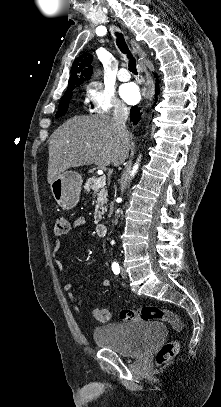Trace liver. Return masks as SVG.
Segmentation results:
<instances>
[{
  "instance_id": "1",
  "label": "liver",
  "mask_w": 221,
  "mask_h": 407,
  "mask_svg": "<svg viewBox=\"0 0 221 407\" xmlns=\"http://www.w3.org/2000/svg\"><path fill=\"white\" fill-rule=\"evenodd\" d=\"M132 135L122 132L108 115L80 116L58 127L49 139L47 181L69 168L95 164L119 166L128 156Z\"/></svg>"
}]
</instances>
